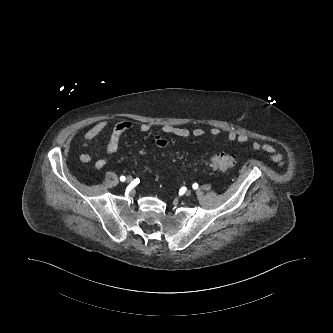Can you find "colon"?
Here are the masks:
<instances>
[{
  "label": "colon",
  "mask_w": 333,
  "mask_h": 333,
  "mask_svg": "<svg viewBox=\"0 0 333 333\" xmlns=\"http://www.w3.org/2000/svg\"><path fill=\"white\" fill-rule=\"evenodd\" d=\"M168 144V141L162 138L156 140V145L164 147ZM209 166L220 171L231 170L236 165V159L234 156L220 153L212 156L208 161Z\"/></svg>",
  "instance_id": "obj_1"
}]
</instances>
